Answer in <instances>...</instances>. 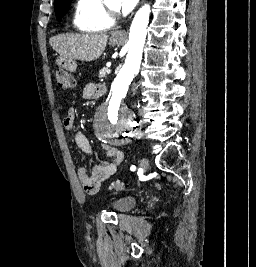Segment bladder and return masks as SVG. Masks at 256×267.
Wrapping results in <instances>:
<instances>
[{
	"instance_id": "1",
	"label": "bladder",
	"mask_w": 256,
	"mask_h": 267,
	"mask_svg": "<svg viewBox=\"0 0 256 267\" xmlns=\"http://www.w3.org/2000/svg\"><path fill=\"white\" fill-rule=\"evenodd\" d=\"M113 205L116 213L120 214L129 211L133 206L136 205V201L133 197L122 196L117 198Z\"/></svg>"
}]
</instances>
